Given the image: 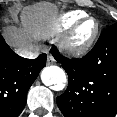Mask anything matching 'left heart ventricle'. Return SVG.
<instances>
[{"instance_id": "obj_1", "label": "left heart ventricle", "mask_w": 117, "mask_h": 117, "mask_svg": "<svg viewBox=\"0 0 117 117\" xmlns=\"http://www.w3.org/2000/svg\"><path fill=\"white\" fill-rule=\"evenodd\" d=\"M93 28H94V23L92 21H88L80 29V36H82V37L87 36L89 33H91Z\"/></svg>"}]
</instances>
